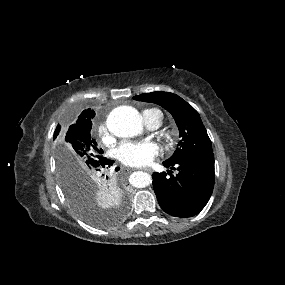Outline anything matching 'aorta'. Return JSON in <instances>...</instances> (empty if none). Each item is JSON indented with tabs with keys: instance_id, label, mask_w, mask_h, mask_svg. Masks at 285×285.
I'll use <instances>...</instances> for the list:
<instances>
[{
	"instance_id": "762f6f07",
	"label": "aorta",
	"mask_w": 285,
	"mask_h": 285,
	"mask_svg": "<svg viewBox=\"0 0 285 285\" xmlns=\"http://www.w3.org/2000/svg\"><path fill=\"white\" fill-rule=\"evenodd\" d=\"M107 127L110 133L117 137H133L142 131V117L130 106H119L113 109L107 118ZM129 182L136 188H144L151 184L150 174L137 171L131 174Z\"/></svg>"
}]
</instances>
